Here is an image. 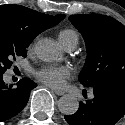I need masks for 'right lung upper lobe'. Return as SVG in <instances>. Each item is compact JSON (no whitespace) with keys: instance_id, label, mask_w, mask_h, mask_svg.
I'll return each instance as SVG.
<instances>
[{"instance_id":"1","label":"right lung upper lobe","mask_w":125,"mask_h":125,"mask_svg":"<svg viewBox=\"0 0 125 125\" xmlns=\"http://www.w3.org/2000/svg\"><path fill=\"white\" fill-rule=\"evenodd\" d=\"M64 18L65 15L50 16L20 5H0V41L28 47L38 34Z\"/></svg>"}]
</instances>
